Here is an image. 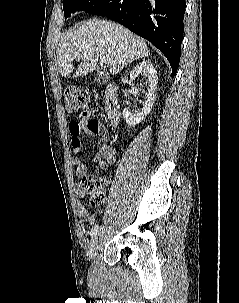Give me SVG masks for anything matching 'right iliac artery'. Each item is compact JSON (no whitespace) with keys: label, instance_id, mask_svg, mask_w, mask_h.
<instances>
[{"label":"right iliac artery","instance_id":"right-iliac-artery-1","mask_svg":"<svg viewBox=\"0 0 239 303\" xmlns=\"http://www.w3.org/2000/svg\"><path fill=\"white\" fill-rule=\"evenodd\" d=\"M99 232V225H95L92 229H91V237H94L97 235V233Z\"/></svg>","mask_w":239,"mask_h":303}]
</instances>
